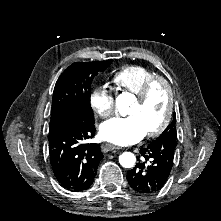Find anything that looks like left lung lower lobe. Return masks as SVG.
I'll return each mask as SVG.
<instances>
[{
	"instance_id": "0a47b994",
	"label": "left lung lower lobe",
	"mask_w": 221,
	"mask_h": 221,
	"mask_svg": "<svg viewBox=\"0 0 221 221\" xmlns=\"http://www.w3.org/2000/svg\"><path fill=\"white\" fill-rule=\"evenodd\" d=\"M177 141L163 138L140 149L143 157L127 172L131 188L140 194L158 192L167 182L174 160Z\"/></svg>"
}]
</instances>
